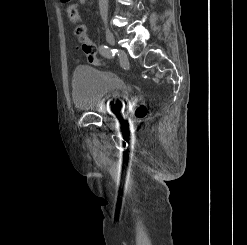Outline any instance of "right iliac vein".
Wrapping results in <instances>:
<instances>
[{
  "label": "right iliac vein",
  "instance_id": "63e3f726",
  "mask_svg": "<svg viewBox=\"0 0 247 245\" xmlns=\"http://www.w3.org/2000/svg\"><path fill=\"white\" fill-rule=\"evenodd\" d=\"M106 40L109 45L114 46L115 45V38L113 33L107 28L106 29Z\"/></svg>",
  "mask_w": 247,
  "mask_h": 245
}]
</instances>
